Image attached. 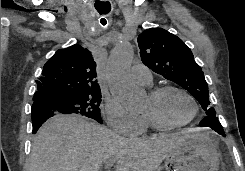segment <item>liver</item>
Masks as SVG:
<instances>
[{
    "label": "liver",
    "mask_w": 245,
    "mask_h": 171,
    "mask_svg": "<svg viewBox=\"0 0 245 171\" xmlns=\"http://www.w3.org/2000/svg\"><path fill=\"white\" fill-rule=\"evenodd\" d=\"M188 135L159 134L128 139L77 115H58L38 131L29 171H100L117 161L116 171H155Z\"/></svg>",
    "instance_id": "obj_1"
}]
</instances>
